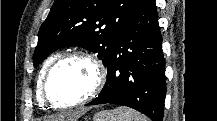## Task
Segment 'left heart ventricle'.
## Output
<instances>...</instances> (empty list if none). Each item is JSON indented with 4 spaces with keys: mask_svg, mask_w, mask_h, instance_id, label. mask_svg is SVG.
Here are the masks:
<instances>
[{
    "mask_svg": "<svg viewBox=\"0 0 217 121\" xmlns=\"http://www.w3.org/2000/svg\"><path fill=\"white\" fill-rule=\"evenodd\" d=\"M96 79L90 62L77 58L60 65L54 72L49 92L59 105H69L84 98L92 89Z\"/></svg>",
    "mask_w": 217,
    "mask_h": 121,
    "instance_id": "b2bd125f",
    "label": "left heart ventricle"
}]
</instances>
